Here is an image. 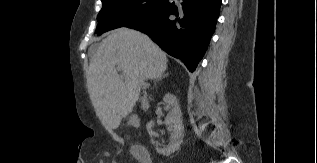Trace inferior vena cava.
Returning <instances> with one entry per match:
<instances>
[{
    "instance_id": "obj_1",
    "label": "inferior vena cava",
    "mask_w": 317,
    "mask_h": 163,
    "mask_svg": "<svg viewBox=\"0 0 317 163\" xmlns=\"http://www.w3.org/2000/svg\"><path fill=\"white\" fill-rule=\"evenodd\" d=\"M142 105H143V108H148V101H147L146 94H144V96L142 97Z\"/></svg>"
}]
</instances>
